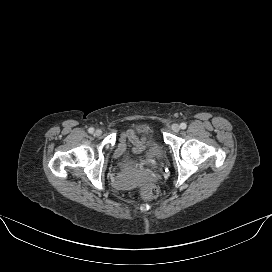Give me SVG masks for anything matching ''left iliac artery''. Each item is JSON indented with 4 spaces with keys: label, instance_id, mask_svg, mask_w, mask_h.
Masks as SVG:
<instances>
[{
    "label": "left iliac artery",
    "instance_id": "1",
    "mask_svg": "<svg viewBox=\"0 0 272 272\" xmlns=\"http://www.w3.org/2000/svg\"><path fill=\"white\" fill-rule=\"evenodd\" d=\"M180 127H181V129H186L187 125H186V123H181Z\"/></svg>",
    "mask_w": 272,
    "mask_h": 272
}]
</instances>
